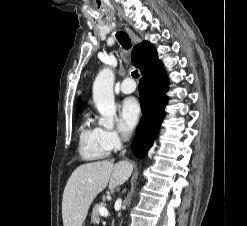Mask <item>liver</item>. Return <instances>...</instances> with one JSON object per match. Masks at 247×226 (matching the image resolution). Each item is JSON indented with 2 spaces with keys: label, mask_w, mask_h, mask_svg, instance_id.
I'll return each mask as SVG.
<instances>
[{
  "label": "liver",
  "mask_w": 247,
  "mask_h": 226,
  "mask_svg": "<svg viewBox=\"0 0 247 226\" xmlns=\"http://www.w3.org/2000/svg\"><path fill=\"white\" fill-rule=\"evenodd\" d=\"M133 164L121 161H97L77 167L67 181L62 199L63 226H82L95 197L108 185L112 190L124 184Z\"/></svg>",
  "instance_id": "6515ba94"
}]
</instances>
